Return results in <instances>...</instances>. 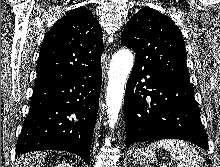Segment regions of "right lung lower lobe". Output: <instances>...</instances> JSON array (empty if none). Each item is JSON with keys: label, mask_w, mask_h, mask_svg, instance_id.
<instances>
[{"label": "right lung lower lobe", "mask_w": 220, "mask_h": 167, "mask_svg": "<svg viewBox=\"0 0 220 167\" xmlns=\"http://www.w3.org/2000/svg\"><path fill=\"white\" fill-rule=\"evenodd\" d=\"M101 81L99 65L69 79L34 88L16 155L42 150L68 151L89 165Z\"/></svg>", "instance_id": "obj_1"}]
</instances>
